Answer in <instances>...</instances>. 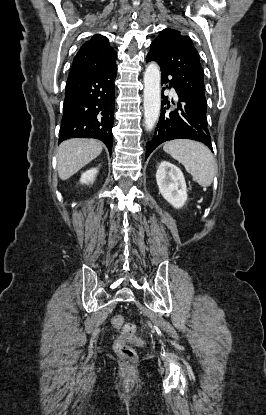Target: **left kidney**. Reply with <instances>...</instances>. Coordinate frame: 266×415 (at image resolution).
Instances as JSON below:
<instances>
[{
	"mask_svg": "<svg viewBox=\"0 0 266 415\" xmlns=\"http://www.w3.org/2000/svg\"><path fill=\"white\" fill-rule=\"evenodd\" d=\"M156 181L163 198L174 208H181L187 200V187L182 171L167 161H162L156 172Z\"/></svg>",
	"mask_w": 266,
	"mask_h": 415,
	"instance_id": "left-kidney-1",
	"label": "left kidney"
}]
</instances>
